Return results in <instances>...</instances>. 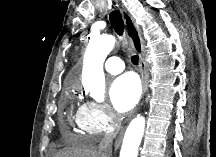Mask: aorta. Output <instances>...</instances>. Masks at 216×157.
Instances as JSON below:
<instances>
[{
	"mask_svg": "<svg viewBox=\"0 0 216 157\" xmlns=\"http://www.w3.org/2000/svg\"><path fill=\"white\" fill-rule=\"evenodd\" d=\"M115 37L102 35L90 40L84 56L82 84L97 102L105 98V77L103 64L115 45ZM145 130V118L137 116L126 129L120 157H137L138 148Z\"/></svg>",
	"mask_w": 216,
	"mask_h": 157,
	"instance_id": "obj_1",
	"label": "aorta"
}]
</instances>
